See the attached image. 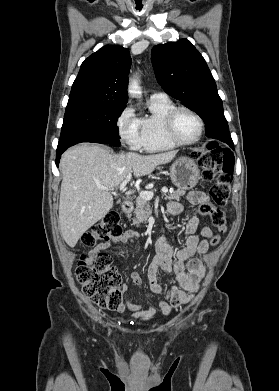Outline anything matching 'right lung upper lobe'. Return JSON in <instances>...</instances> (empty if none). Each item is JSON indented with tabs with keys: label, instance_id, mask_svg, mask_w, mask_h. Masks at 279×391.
Segmentation results:
<instances>
[{
	"label": "right lung upper lobe",
	"instance_id": "cb5924a9",
	"mask_svg": "<svg viewBox=\"0 0 279 391\" xmlns=\"http://www.w3.org/2000/svg\"><path fill=\"white\" fill-rule=\"evenodd\" d=\"M131 66L129 50L106 45L82 64L66 110L86 106H125Z\"/></svg>",
	"mask_w": 279,
	"mask_h": 391
}]
</instances>
